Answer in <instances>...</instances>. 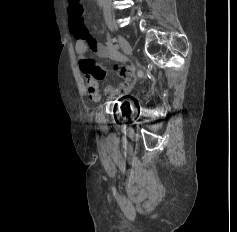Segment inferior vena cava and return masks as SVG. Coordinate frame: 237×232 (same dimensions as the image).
Masks as SVG:
<instances>
[{
	"instance_id": "inferior-vena-cava-1",
	"label": "inferior vena cava",
	"mask_w": 237,
	"mask_h": 232,
	"mask_svg": "<svg viewBox=\"0 0 237 232\" xmlns=\"http://www.w3.org/2000/svg\"><path fill=\"white\" fill-rule=\"evenodd\" d=\"M103 7V15L106 22L111 20V0H98Z\"/></svg>"
}]
</instances>
